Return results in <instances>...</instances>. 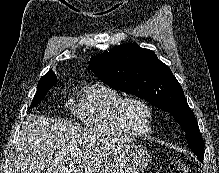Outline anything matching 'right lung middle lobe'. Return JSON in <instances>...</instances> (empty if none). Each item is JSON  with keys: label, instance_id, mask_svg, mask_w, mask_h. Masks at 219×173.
Listing matches in <instances>:
<instances>
[{"label": "right lung middle lobe", "instance_id": "obj_1", "mask_svg": "<svg viewBox=\"0 0 219 173\" xmlns=\"http://www.w3.org/2000/svg\"><path fill=\"white\" fill-rule=\"evenodd\" d=\"M56 77L55 76H44L41 77L40 81L38 82L37 85V92L34 96V99L31 103L30 109L35 107L41 99L46 95L48 90L52 88L57 81H55Z\"/></svg>", "mask_w": 219, "mask_h": 173}]
</instances>
